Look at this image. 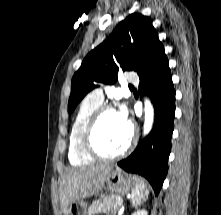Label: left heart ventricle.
Segmentation results:
<instances>
[{
  "label": "left heart ventricle",
  "mask_w": 221,
  "mask_h": 215,
  "mask_svg": "<svg viewBox=\"0 0 221 215\" xmlns=\"http://www.w3.org/2000/svg\"><path fill=\"white\" fill-rule=\"evenodd\" d=\"M130 127L116 111L106 113L100 120L95 132V145L105 154L121 151L129 141Z\"/></svg>",
  "instance_id": "b2bd125f"
}]
</instances>
